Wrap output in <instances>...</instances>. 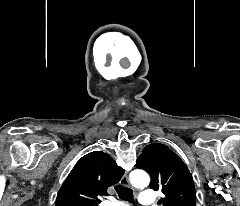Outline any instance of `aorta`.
I'll use <instances>...</instances> for the list:
<instances>
[{
	"instance_id": "obj_1",
	"label": "aorta",
	"mask_w": 240,
	"mask_h": 206,
	"mask_svg": "<svg viewBox=\"0 0 240 206\" xmlns=\"http://www.w3.org/2000/svg\"><path fill=\"white\" fill-rule=\"evenodd\" d=\"M130 182L134 187H144L149 184L150 177L143 170H134L130 174Z\"/></svg>"
}]
</instances>
